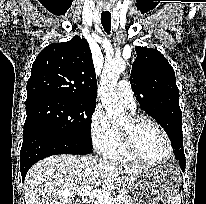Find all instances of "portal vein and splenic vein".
Returning <instances> with one entry per match:
<instances>
[{
  "label": "portal vein and splenic vein",
  "mask_w": 206,
  "mask_h": 204,
  "mask_svg": "<svg viewBox=\"0 0 206 204\" xmlns=\"http://www.w3.org/2000/svg\"><path fill=\"white\" fill-rule=\"evenodd\" d=\"M100 183L101 181H97L94 186H85L78 189L77 191L62 192L61 194L64 196H72L76 192H78V194L81 196L96 199L99 204H118L121 202V196L113 198L108 192L96 189V187L99 186Z\"/></svg>",
  "instance_id": "18ae733b"
}]
</instances>
